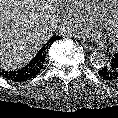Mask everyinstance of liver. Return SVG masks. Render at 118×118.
<instances>
[{
	"label": "liver",
	"instance_id": "liver-1",
	"mask_svg": "<svg viewBox=\"0 0 118 118\" xmlns=\"http://www.w3.org/2000/svg\"><path fill=\"white\" fill-rule=\"evenodd\" d=\"M60 0H0V66L28 64L57 29Z\"/></svg>",
	"mask_w": 118,
	"mask_h": 118
}]
</instances>
